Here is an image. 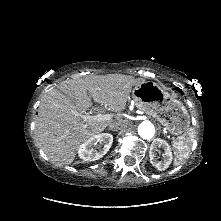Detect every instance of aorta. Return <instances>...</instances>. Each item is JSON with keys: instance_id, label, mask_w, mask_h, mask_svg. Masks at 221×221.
<instances>
[{"instance_id": "1", "label": "aorta", "mask_w": 221, "mask_h": 221, "mask_svg": "<svg viewBox=\"0 0 221 221\" xmlns=\"http://www.w3.org/2000/svg\"><path fill=\"white\" fill-rule=\"evenodd\" d=\"M138 134L141 138L149 140L155 134L154 125L149 121H144L138 126Z\"/></svg>"}]
</instances>
